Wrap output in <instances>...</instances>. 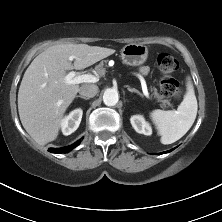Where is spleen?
Returning a JSON list of instances; mask_svg holds the SVG:
<instances>
[{"label": "spleen", "instance_id": "3e777b00", "mask_svg": "<svg viewBox=\"0 0 222 222\" xmlns=\"http://www.w3.org/2000/svg\"><path fill=\"white\" fill-rule=\"evenodd\" d=\"M197 110L194 87L190 77H187L186 93L177 110L156 109L150 113V117L161 136V143L172 144L182 138L192 127Z\"/></svg>", "mask_w": 222, "mask_h": 222}]
</instances>
